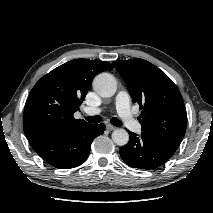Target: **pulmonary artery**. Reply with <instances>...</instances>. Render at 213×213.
<instances>
[{"mask_svg":"<svg viewBox=\"0 0 213 213\" xmlns=\"http://www.w3.org/2000/svg\"><path fill=\"white\" fill-rule=\"evenodd\" d=\"M117 112L124 125L133 132H141V125L135 120L130 110L129 95L126 91H120L115 99ZM88 115H96L102 112L101 108H86Z\"/></svg>","mask_w":213,"mask_h":213,"instance_id":"e3ab8cb5","label":"pulmonary artery"}]
</instances>
